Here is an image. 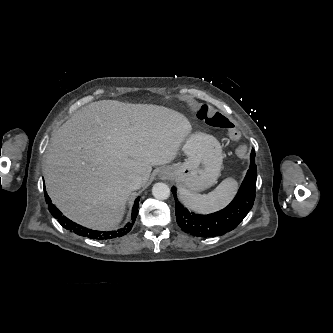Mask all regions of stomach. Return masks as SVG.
<instances>
[{
	"label": "stomach",
	"mask_w": 333,
	"mask_h": 333,
	"mask_svg": "<svg viewBox=\"0 0 333 333\" xmlns=\"http://www.w3.org/2000/svg\"><path fill=\"white\" fill-rule=\"evenodd\" d=\"M182 150L187 156L185 162L164 167L162 171L191 192H200L214 185L223 161L219 141L212 135L197 132L187 138Z\"/></svg>",
	"instance_id": "0dacf381"
}]
</instances>
